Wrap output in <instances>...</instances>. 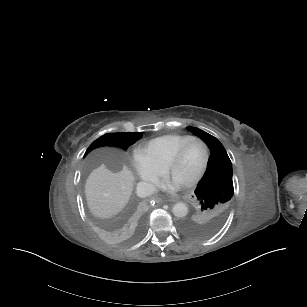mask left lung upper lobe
I'll use <instances>...</instances> for the list:
<instances>
[{"label":"left lung upper lobe","instance_id":"1","mask_svg":"<svg viewBox=\"0 0 307 307\" xmlns=\"http://www.w3.org/2000/svg\"><path fill=\"white\" fill-rule=\"evenodd\" d=\"M210 148L207 170L195 190V212L184 219L182 231L192 237L206 238L215 234L225 222L234 194L232 164L217 138L207 132L189 127Z\"/></svg>","mask_w":307,"mask_h":307}]
</instances>
